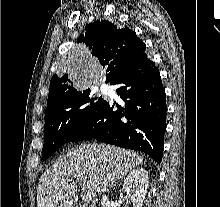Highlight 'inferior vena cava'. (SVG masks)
Masks as SVG:
<instances>
[{"label":"inferior vena cava","mask_w":220,"mask_h":207,"mask_svg":"<svg viewBox=\"0 0 220 207\" xmlns=\"http://www.w3.org/2000/svg\"><path fill=\"white\" fill-rule=\"evenodd\" d=\"M107 187H108V183L105 184V187H104V189H103L104 192H106ZM108 202H109V198H108L106 195H103L102 200H101V205H102V207H106L107 204H108Z\"/></svg>","instance_id":"602c4592"}]
</instances>
